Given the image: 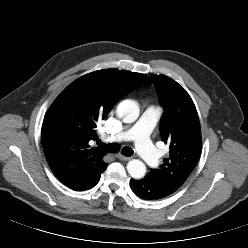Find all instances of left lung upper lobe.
<instances>
[{"label": "left lung upper lobe", "instance_id": "left-lung-upper-lobe-1", "mask_svg": "<svg viewBox=\"0 0 248 248\" xmlns=\"http://www.w3.org/2000/svg\"><path fill=\"white\" fill-rule=\"evenodd\" d=\"M152 79L164 108L160 133L162 141L170 145V156L146 178L171 195L188 179L199 160L201 128L195 105L186 90L165 75H153Z\"/></svg>", "mask_w": 248, "mask_h": 248}]
</instances>
